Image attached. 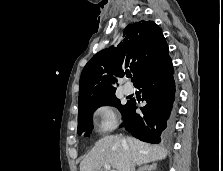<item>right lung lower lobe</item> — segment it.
I'll return each mask as SVG.
<instances>
[{
	"instance_id": "right-lung-lower-lobe-1",
	"label": "right lung lower lobe",
	"mask_w": 223,
	"mask_h": 171,
	"mask_svg": "<svg viewBox=\"0 0 223 171\" xmlns=\"http://www.w3.org/2000/svg\"><path fill=\"white\" fill-rule=\"evenodd\" d=\"M173 74L174 69L169 58L136 84V87L141 89L142 99L147 105L140 108L141 114H137L136 101L130 100L122 123L134 137L151 143H159L165 139L171 128L168 119L175 100Z\"/></svg>"
}]
</instances>
